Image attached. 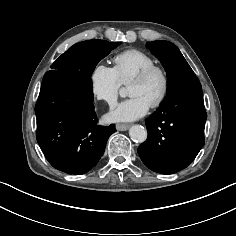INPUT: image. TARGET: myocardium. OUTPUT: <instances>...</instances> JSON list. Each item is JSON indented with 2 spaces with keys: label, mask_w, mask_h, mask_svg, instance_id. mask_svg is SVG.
<instances>
[{
  "label": "myocardium",
  "mask_w": 236,
  "mask_h": 236,
  "mask_svg": "<svg viewBox=\"0 0 236 236\" xmlns=\"http://www.w3.org/2000/svg\"><path fill=\"white\" fill-rule=\"evenodd\" d=\"M155 73H158L161 76L163 81V87L158 98L151 104L152 108L159 107L168 96L170 89V76L168 71L161 65L152 64L141 70L129 83V85L143 83Z\"/></svg>",
  "instance_id": "f54148a6"
}]
</instances>
